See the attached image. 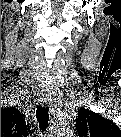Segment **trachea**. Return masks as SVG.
Segmentation results:
<instances>
[{
    "mask_svg": "<svg viewBox=\"0 0 121 137\" xmlns=\"http://www.w3.org/2000/svg\"><path fill=\"white\" fill-rule=\"evenodd\" d=\"M36 116L40 128L45 129L49 121L48 108L37 106Z\"/></svg>",
    "mask_w": 121,
    "mask_h": 137,
    "instance_id": "1",
    "label": "trachea"
}]
</instances>
